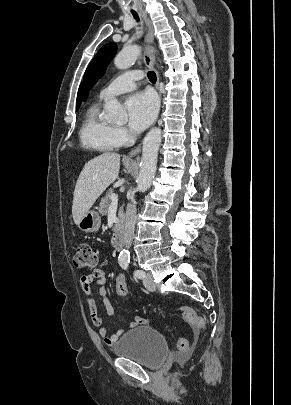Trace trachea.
Wrapping results in <instances>:
<instances>
[{
	"mask_svg": "<svg viewBox=\"0 0 291 405\" xmlns=\"http://www.w3.org/2000/svg\"><path fill=\"white\" fill-rule=\"evenodd\" d=\"M132 14L136 20H139L138 14L136 12H132ZM147 75H148L150 82H152V83L156 82V73L155 72L149 71Z\"/></svg>",
	"mask_w": 291,
	"mask_h": 405,
	"instance_id": "trachea-1",
	"label": "trachea"
}]
</instances>
